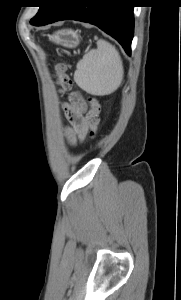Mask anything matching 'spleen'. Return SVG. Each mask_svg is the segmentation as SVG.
<instances>
[{
  "mask_svg": "<svg viewBox=\"0 0 181 300\" xmlns=\"http://www.w3.org/2000/svg\"><path fill=\"white\" fill-rule=\"evenodd\" d=\"M123 74L122 60L115 46L100 39L97 49H91L78 61L74 81L87 93L104 96L118 89Z\"/></svg>",
  "mask_w": 181,
  "mask_h": 300,
  "instance_id": "spleen-1",
  "label": "spleen"
}]
</instances>
